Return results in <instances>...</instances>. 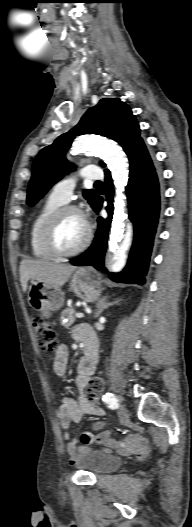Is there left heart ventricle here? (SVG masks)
<instances>
[{
	"label": "left heart ventricle",
	"instance_id": "1",
	"mask_svg": "<svg viewBox=\"0 0 192 527\" xmlns=\"http://www.w3.org/2000/svg\"><path fill=\"white\" fill-rule=\"evenodd\" d=\"M85 233L86 224L84 219L76 213H67L57 225L55 232L56 245L62 250H71L81 243Z\"/></svg>",
	"mask_w": 192,
	"mask_h": 527
}]
</instances>
